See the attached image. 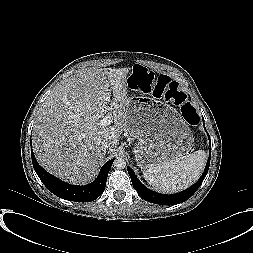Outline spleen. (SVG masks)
I'll return each instance as SVG.
<instances>
[{
    "mask_svg": "<svg viewBox=\"0 0 253 253\" xmlns=\"http://www.w3.org/2000/svg\"><path fill=\"white\" fill-rule=\"evenodd\" d=\"M206 160L205 151L198 150L191 154L150 166L143 171V177L159 192H178L192 185L200 177Z\"/></svg>",
    "mask_w": 253,
    "mask_h": 253,
    "instance_id": "3e777b00",
    "label": "spleen"
}]
</instances>
